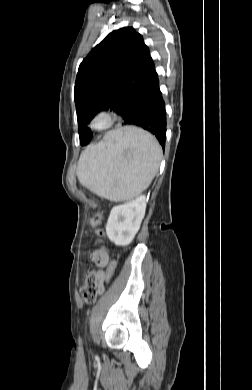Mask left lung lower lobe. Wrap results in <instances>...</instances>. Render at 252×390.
<instances>
[{"mask_svg": "<svg viewBox=\"0 0 252 390\" xmlns=\"http://www.w3.org/2000/svg\"><path fill=\"white\" fill-rule=\"evenodd\" d=\"M120 115L125 125H135L153 133L161 146L165 147L166 139V110L165 102L160 91L158 74L154 72L143 85L134 92L123 106ZM92 133L86 127L80 139V144H88Z\"/></svg>", "mask_w": 252, "mask_h": 390, "instance_id": "obj_1", "label": "left lung lower lobe"}]
</instances>
